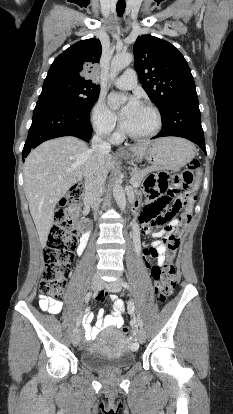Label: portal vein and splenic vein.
Wrapping results in <instances>:
<instances>
[{
  "instance_id": "18ae733b",
  "label": "portal vein and splenic vein",
  "mask_w": 233,
  "mask_h": 414,
  "mask_svg": "<svg viewBox=\"0 0 233 414\" xmlns=\"http://www.w3.org/2000/svg\"><path fill=\"white\" fill-rule=\"evenodd\" d=\"M133 181V178H131V184L133 185V186H136L137 184L136 183H134V182H132Z\"/></svg>"
}]
</instances>
